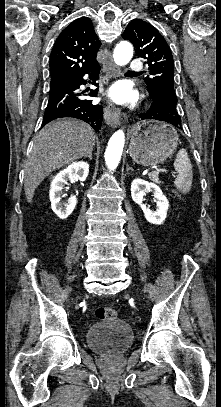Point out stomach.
I'll return each instance as SVG.
<instances>
[{"mask_svg":"<svg viewBox=\"0 0 221 407\" xmlns=\"http://www.w3.org/2000/svg\"><path fill=\"white\" fill-rule=\"evenodd\" d=\"M177 131L168 123L142 121L132 129L130 156L142 166H154L165 161L177 148Z\"/></svg>","mask_w":221,"mask_h":407,"instance_id":"1","label":"stomach"}]
</instances>
